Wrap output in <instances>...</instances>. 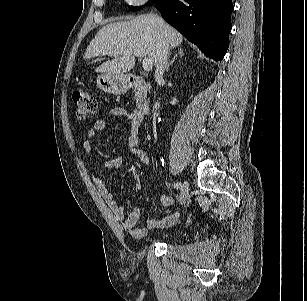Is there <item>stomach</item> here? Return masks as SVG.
Instances as JSON below:
<instances>
[{
  "instance_id": "obj_1",
  "label": "stomach",
  "mask_w": 307,
  "mask_h": 301,
  "mask_svg": "<svg viewBox=\"0 0 307 301\" xmlns=\"http://www.w3.org/2000/svg\"><path fill=\"white\" fill-rule=\"evenodd\" d=\"M97 86L108 93L123 94L129 88L128 77L124 74L103 73L97 77Z\"/></svg>"
}]
</instances>
